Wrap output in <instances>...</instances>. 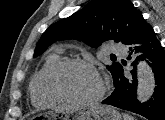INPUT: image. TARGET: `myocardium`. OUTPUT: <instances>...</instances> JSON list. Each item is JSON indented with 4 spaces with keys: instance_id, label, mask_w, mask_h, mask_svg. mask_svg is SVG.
Returning a JSON list of instances; mask_svg holds the SVG:
<instances>
[{
    "instance_id": "myocardium-1",
    "label": "myocardium",
    "mask_w": 165,
    "mask_h": 120,
    "mask_svg": "<svg viewBox=\"0 0 165 120\" xmlns=\"http://www.w3.org/2000/svg\"><path fill=\"white\" fill-rule=\"evenodd\" d=\"M74 66H81L88 68L92 70L99 77V79L101 80V90L96 96L87 99H75L67 96L62 91L59 85V79L67 69ZM47 87L51 95L55 97L57 100L70 104H76V105H91L98 103L103 99L107 91L106 82L101 76L98 69L95 67V65L89 61L80 58H68L61 60L50 72L47 79Z\"/></svg>"
}]
</instances>
